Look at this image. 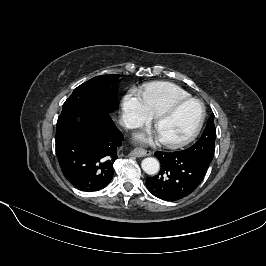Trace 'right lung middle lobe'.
Returning <instances> with one entry per match:
<instances>
[{"label": "right lung middle lobe", "mask_w": 266, "mask_h": 266, "mask_svg": "<svg viewBox=\"0 0 266 266\" xmlns=\"http://www.w3.org/2000/svg\"><path fill=\"white\" fill-rule=\"evenodd\" d=\"M119 75H101L78 86L63 104L62 110H102L113 112L117 107V78Z\"/></svg>", "instance_id": "obj_1"}]
</instances>
